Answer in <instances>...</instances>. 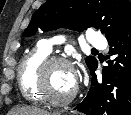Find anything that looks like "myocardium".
Returning a JSON list of instances; mask_svg holds the SVG:
<instances>
[{"mask_svg":"<svg viewBox=\"0 0 131 115\" xmlns=\"http://www.w3.org/2000/svg\"><path fill=\"white\" fill-rule=\"evenodd\" d=\"M57 64L67 66L72 72H74L73 64L70 60L62 56H49L41 62L36 71L35 88L44 102L52 106H64L69 104L77 95L78 85L75 84L72 92L63 98L53 97L47 89V73L49 69Z\"/></svg>","mask_w":131,"mask_h":115,"instance_id":"myocardium-1","label":"myocardium"}]
</instances>
